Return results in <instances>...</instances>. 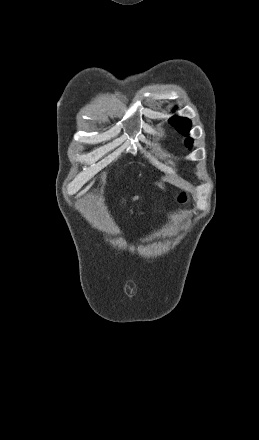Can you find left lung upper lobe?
<instances>
[{
    "label": "left lung upper lobe",
    "instance_id": "1",
    "mask_svg": "<svg viewBox=\"0 0 259 440\" xmlns=\"http://www.w3.org/2000/svg\"><path fill=\"white\" fill-rule=\"evenodd\" d=\"M169 123L173 126L176 127V129L182 133L184 136H188V132L190 130L191 127V121L188 120L187 118H182V117H172L169 120ZM186 143H187V147L191 148L192 144H193V139L191 138H187L186 139Z\"/></svg>",
    "mask_w": 259,
    "mask_h": 440
}]
</instances>
